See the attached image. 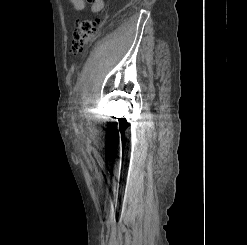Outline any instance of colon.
I'll use <instances>...</instances> for the list:
<instances>
[{"label": "colon", "instance_id": "obj_1", "mask_svg": "<svg viewBox=\"0 0 247 245\" xmlns=\"http://www.w3.org/2000/svg\"><path fill=\"white\" fill-rule=\"evenodd\" d=\"M101 23L102 20L100 18H87L77 23L71 38L70 52L72 55L83 54L85 46L95 37Z\"/></svg>", "mask_w": 247, "mask_h": 245}]
</instances>
